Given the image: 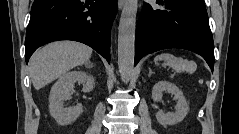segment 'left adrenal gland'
I'll list each match as a JSON object with an SVG mask.
<instances>
[{
    "mask_svg": "<svg viewBox=\"0 0 239 134\" xmlns=\"http://www.w3.org/2000/svg\"><path fill=\"white\" fill-rule=\"evenodd\" d=\"M152 74H153L152 69L149 68V74H148V76L150 77Z\"/></svg>",
    "mask_w": 239,
    "mask_h": 134,
    "instance_id": "left-adrenal-gland-1",
    "label": "left adrenal gland"
}]
</instances>
